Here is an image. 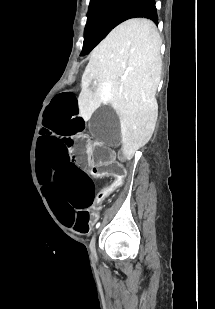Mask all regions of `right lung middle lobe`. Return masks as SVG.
Segmentation results:
<instances>
[{
	"mask_svg": "<svg viewBox=\"0 0 215 309\" xmlns=\"http://www.w3.org/2000/svg\"><path fill=\"white\" fill-rule=\"evenodd\" d=\"M131 0H90L81 56L88 54L115 26Z\"/></svg>",
	"mask_w": 215,
	"mask_h": 309,
	"instance_id": "obj_1",
	"label": "right lung middle lobe"
}]
</instances>
